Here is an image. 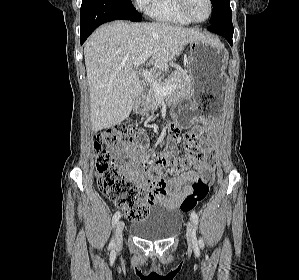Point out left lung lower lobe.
Returning <instances> with one entry per match:
<instances>
[{"label":"left lung lower lobe","instance_id":"1","mask_svg":"<svg viewBox=\"0 0 299 280\" xmlns=\"http://www.w3.org/2000/svg\"><path fill=\"white\" fill-rule=\"evenodd\" d=\"M207 30L222 35L232 46L233 24L229 0L220 3V10L217 12L215 19L210 23Z\"/></svg>","mask_w":299,"mask_h":280}]
</instances>
